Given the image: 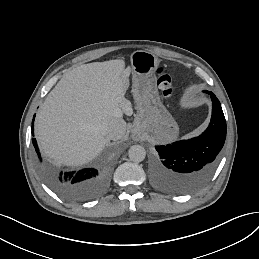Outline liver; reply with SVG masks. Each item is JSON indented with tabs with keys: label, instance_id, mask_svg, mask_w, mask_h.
<instances>
[{
	"label": "liver",
	"instance_id": "1",
	"mask_svg": "<svg viewBox=\"0 0 259 259\" xmlns=\"http://www.w3.org/2000/svg\"><path fill=\"white\" fill-rule=\"evenodd\" d=\"M129 75L123 60L86 64L64 74L35 119L42 153L69 165L97 156L107 141L100 124L132 113L125 99Z\"/></svg>",
	"mask_w": 259,
	"mask_h": 259
}]
</instances>
